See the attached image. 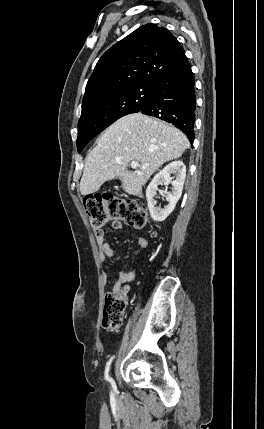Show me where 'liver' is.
<instances>
[{
	"label": "liver",
	"instance_id": "obj_1",
	"mask_svg": "<svg viewBox=\"0 0 264 429\" xmlns=\"http://www.w3.org/2000/svg\"><path fill=\"white\" fill-rule=\"evenodd\" d=\"M189 147L186 135L174 126L142 113L126 115L104 131L87 156L81 194L94 193L104 182L119 177L125 192L138 195L161 165L179 158ZM131 161L147 167L130 172Z\"/></svg>",
	"mask_w": 264,
	"mask_h": 429
}]
</instances>
